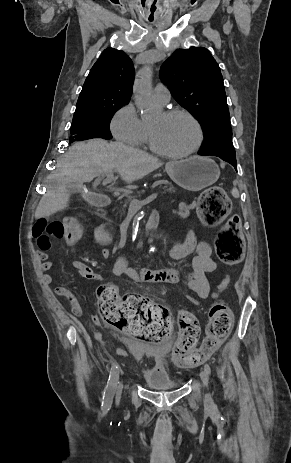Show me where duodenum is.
Wrapping results in <instances>:
<instances>
[{
  "instance_id": "duodenum-1",
  "label": "duodenum",
  "mask_w": 291,
  "mask_h": 463,
  "mask_svg": "<svg viewBox=\"0 0 291 463\" xmlns=\"http://www.w3.org/2000/svg\"><path fill=\"white\" fill-rule=\"evenodd\" d=\"M110 201V197L107 193L103 191H93L89 195V202L98 207H105ZM156 225V218L152 217L147 221L146 229L147 231H153ZM143 246V243L141 244Z\"/></svg>"
}]
</instances>
